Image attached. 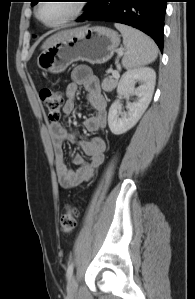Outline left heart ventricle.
<instances>
[{
    "label": "left heart ventricle",
    "instance_id": "obj_1",
    "mask_svg": "<svg viewBox=\"0 0 195 299\" xmlns=\"http://www.w3.org/2000/svg\"><path fill=\"white\" fill-rule=\"evenodd\" d=\"M73 7L74 4L67 0L45 1L40 8V17L46 23H57L69 16Z\"/></svg>",
    "mask_w": 195,
    "mask_h": 299
}]
</instances>
